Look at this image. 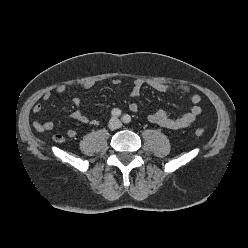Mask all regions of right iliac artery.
<instances>
[{"label":"right iliac artery","mask_w":248,"mask_h":248,"mask_svg":"<svg viewBox=\"0 0 248 248\" xmlns=\"http://www.w3.org/2000/svg\"><path fill=\"white\" fill-rule=\"evenodd\" d=\"M111 114L113 117H119L121 115V110L118 109V108H114L112 111H111Z\"/></svg>","instance_id":"82829eb1"}]
</instances>
